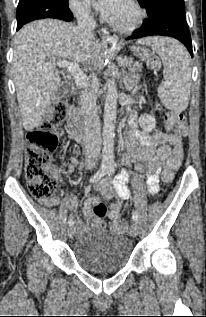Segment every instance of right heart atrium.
I'll use <instances>...</instances> for the list:
<instances>
[{
  "label": "right heart atrium",
  "instance_id": "right-heart-atrium-1",
  "mask_svg": "<svg viewBox=\"0 0 206 317\" xmlns=\"http://www.w3.org/2000/svg\"><path fill=\"white\" fill-rule=\"evenodd\" d=\"M70 6L78 17H89L91 8L84 0H70Z\"/></svg>",
  "mask_w": 206,
  "mask_h": 317
}]
</instances>
